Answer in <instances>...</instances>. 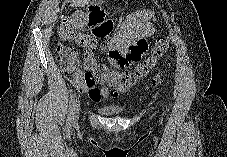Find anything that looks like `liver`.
I'll use <instances>...</instances> for the list:
<instances>
[{
  "label": "liver",
  "mask_w": 227,
  "mask_h": 157,
  "mask_svg": "<svg viewBox=\"0 0 227 157\" xmlns=\"http://www.w3.org/2000/svg\"><path fill=\"white\" fill-rule=\"evenodd\" d=\"M84 2H85V3H87L88 1H87V0H85Z\"/></svg>",
  "instance_id": "1"
}]
</instances>
